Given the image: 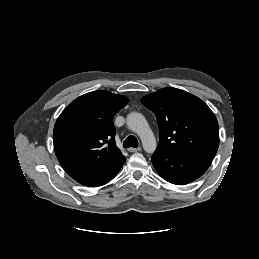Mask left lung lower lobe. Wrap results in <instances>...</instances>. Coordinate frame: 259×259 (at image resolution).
Instances as JSON below:
<instances>
[{
	"label": "left lung lower lobe",
	"mask_w": 259,
	"mask_h": 259,
	"mask_svg": "<svg viewBox=\"0 0 259 259\" xmlns=\"http://www.w3.org/2000/svg\"><path fill=\"white\" fill-rule=\"evenodd\" d=\"M212 162L210 158L184 157L157 148L152 163L158 174L166 181L184 185L202 176Z\"/></svg>",
	"instance_id": "1"
}]
</instances>
